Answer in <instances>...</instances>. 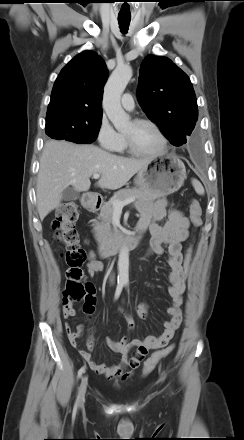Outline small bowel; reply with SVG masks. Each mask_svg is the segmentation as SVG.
<instances>
[{"mask_svg": "<svg viewBox=\"0 0 244 440\" xmlns=\"http://www.w3.org/2000/svg\"><path fill=\"white\" fill-rule=\"evenodd\" d=\"M168 202L165 199H160L156 202L143 201L136 203V208L140 213V220L138 227L144 230H149L151 239L149 243V254L166 255L168 265L170 267V287L169 295L171 298V306L168 308L170 316L169 321L163 323L164 331L158 335H148L144 340L132 339L124 337L120 341H115L111 338L105 340V344L113 351L121 355L118 363L107 366L103 363H97L93 360L91 350L93 348V340L91 334L87 340V349H79L82 358L88 363L89 367L97 374L103 375L108 379L127 380L133 375V371L137 369L144 357L137 354V350L141 347L148 350H154L164 347L174 337L175 332L180 327L182 322L181 305L182 294L185 290V277L183 273V255L182 242L188 237L189 219L179 210H169L167 208ZM168 216V221L165 225L158 224L160 220ZM167 246V250L164 246ZM103 269V264L99 261L92 260L87 265L89 276L93 277ZM94 304L91 309L84 308V313L90 317L94 313ZM73 313H64V318H71ZM138 315L141 319H146L148 315V305L146 303L140 304L138 308ZM130 331L135 328L133 318L130 314H125ZM65 329L67 336L74 347H78V339L82 335L83 326L78 325L73 331L70 324L66 322ZM137 347V350L130 357L129 353L132 348ZM129 367L130 371H125Z\"/></svg>", "mask_w": 244, "mask_h": 440, "instance_id": "1", "label": "small bowel"}]
</instances>
